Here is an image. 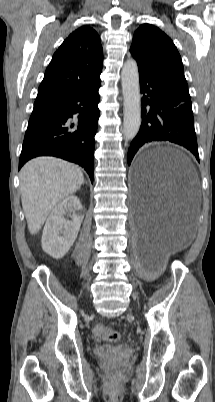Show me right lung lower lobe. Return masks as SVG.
I'll return each instance as SVG.
<instances>
[{"mask_svg":"<svg viewBox=\"0 0 215 402\" xmlns=\"http://www.w3.org/2000/svg\"><path fill=\"white\" fill-rule=\"evenodd\" d=\"M100 84L98 77L94 82L62 97L46 112L29 121L19 169L34 157L55 156L82 166L93 182Z\"/></svg>","mask_w":215,"mask_h":402,"instance_id":"98d812e1","label":"right lung lower lobe"}]
</instances>
